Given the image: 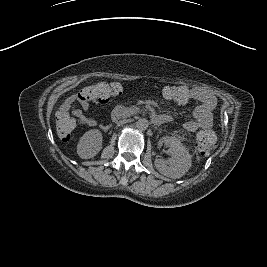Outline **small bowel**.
I'll use <instances>...</instances> for the list:
<instances>
[{"label":"small bowel","mask_w":267,"mask_h":267,"mask_svg":"<svg viewBox=\"0 0 267 267\" xmlns=\"http://www.w3.org/2000/svg\"><path fill=\"white\" fill-rule=\"evenodd\" d=\"M181 89L188 92V99L182 103L187 104L192 100L199 102V105L194 109L192 119L187 120L184 123V128L189 132H196L198 129H210L214 124V114L213 111L216 106V98L214 94L208 89L201 86L186 87L181 86ZM80 103L81 109L76 107V102ZM90 104H84L76 96H68L61 105V110L63 112H72V114L77 118L81 125L95 127L97 121L93 118H87L84 112L89 110ZM165 116V115H164ZM169 118L168 116H166ZM103 128L106 126L103 125Z\"/></svg>","instance_id":"1"}]
</instances>
